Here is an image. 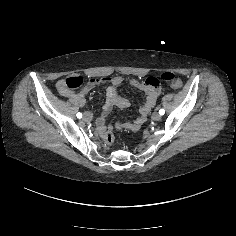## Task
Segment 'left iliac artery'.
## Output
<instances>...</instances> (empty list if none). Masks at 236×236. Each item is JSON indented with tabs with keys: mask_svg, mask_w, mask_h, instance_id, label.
<instances>
[{
	"mask_svg": "<svg viewBox=\"0 0 236 236\" xmlns=\"http://www.w3.org/2000/svg\"><path fill=\"white\" fill-rule=\"evenodd\" d=\"M164 113H165V110H164V109H160V110H159V114H160V115H164Z\"/></svg>",
	"mask_w": 236,
	"mask_h": 236,
	"instance_id": "obj_1",
	"label": "left iliac artery"
}]
</instances>
